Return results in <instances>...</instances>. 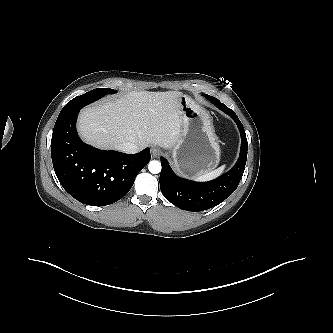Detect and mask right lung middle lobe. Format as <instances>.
Returning <instances> with one entry per match:
<instances>
[{
  "mask_svg": "<svg viewBox=\"0 0 333 333\" xmlns=\"http://www.w3.org/2000/svg\"><path fill=\"white\" fill-rule=\"evenodd\" d=\"M116 90L114 89H106V88H97L92 91H89L81 96H77L68 102L63 109L65 110H80L84 106L100 99L106 94H113Z\"/></svg>",
  "mask_w": 333,
  "mask_h": 333,
  "instance_id": "1",
  "label": "right lung middle lobe"
}]
</instances>
